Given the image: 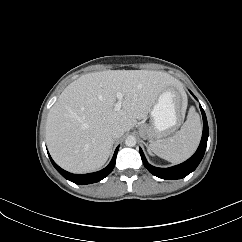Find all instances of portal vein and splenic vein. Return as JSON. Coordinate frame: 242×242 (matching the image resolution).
Wrapping results in <instances>:
<instances>
[{
  "label": "portal vein and splenic vein",
  "instance_id": "obj_1",
  "mask_svg": "<svg viewBox=\"0 0 242 242\" xmlns=\"http://www.w3.org/2000/svg\"><path fill=\"white\" fill-rule=\"evenodd\" d=\"M116 97H117L118 101L115 104L114 109L116 111H119L121 109V107H122V100H123L124 95H123L122 92H117L116 93Z\"/></svg>",
  "mask_w": 242,
  "mask_h": 242
}]
</instances>
